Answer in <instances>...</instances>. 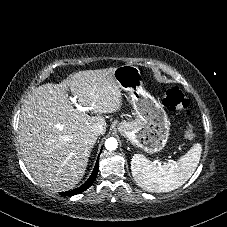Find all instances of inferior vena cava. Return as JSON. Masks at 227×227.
I'll list each match as a JSON object with an SVG mask.
<instances>
[{"mask_svg": "<svg viewBox=\"0 0 227 227\" xmlns=\"http://www.w3.org/2000/svg\"><path fill=\"white\" fill-rule=\"evenodd\" d=\"M105 130L106 128L102 123H95L92 128V131L95 135L104 134Z\"/></svg>", "mask_w": 227, "mask_h": 227, "instance_id": "obj_1", "label": "inferior vena cava"}]
</instances>
